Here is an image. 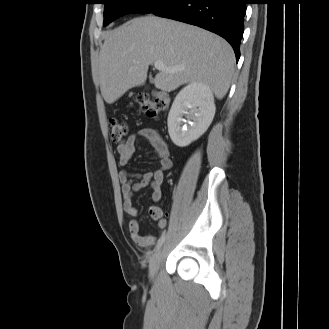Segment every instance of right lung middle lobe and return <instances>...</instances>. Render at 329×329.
Listing matches in <instances>:
<instances>
[{
	"mask_svg": "<svg viewBox=\"0 0 329 329\" xmlns=\"http://www.w3.org/2000/svg\"><path fill=\"white\" fill-rule=\"evenodd\" d=\"M172 0H103L104 23L106 26L113 20L131 13H152Z\"/></svg>",
	"mask_w": 329,
	"mask_h": 329,
	"instance_id": "dd1d6c3e",
	"label": "right lung middle lobe"
}]
</instances>
